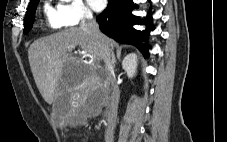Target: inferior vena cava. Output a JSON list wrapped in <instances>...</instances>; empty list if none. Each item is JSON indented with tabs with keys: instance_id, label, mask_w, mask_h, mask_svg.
Segmentation results:
<instances>
[{
	"instance_id": "inferior-vena-cava-1",
	"label": "inferior vena cava",
	"mask_w": 227,
	"mask_h": 142,
	"mask_svg": "<svg viewBox=\"0 0 227 142\" xmlns=\"http://www.w3.org/2000/svg\"><path fill=\"white\" fill-rule=\"evenodd\" d=\"M81 28L90 34L93 39L97 42L101 58L104 60L105 71H104V83L109 88L110 85L114 84V67L111 60V50L104 40L103 34L100 32L98 23L93 18L90 11L84 12V19L81 23ZM109 101L107 104V126L105 130V142H113V135L116 123V115L119 103V93L115 89H108Z\"/></svg>"
}]
</instances>
